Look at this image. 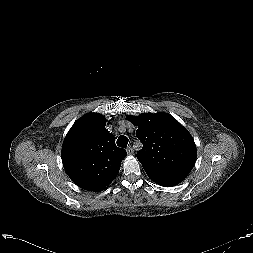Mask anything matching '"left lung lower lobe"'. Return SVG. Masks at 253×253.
Segmentation results:
<instances>
[{
	"instance_id": "obj_1",
	"label": "left lung lower lobe",
	"mask_w": 253,
	"mask_h": 253,
	"mask_svg": "<svg viewBox=\"0 0 253 253\" xmlns=\"http://www.w3.org/2000/svg\"><path fill=\"white\" fill-rule=\"evenodd\" d=\"M144 170L151 180L164 187L175 186L179 184L181 181H183L188 175L181 172H172L164 170H152V169H144Z\"/></svg>"
}]
</instances>
